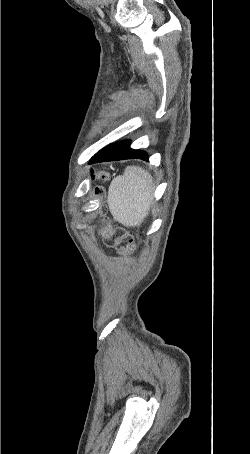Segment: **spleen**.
<instances>
[{
    "mask_svg": "<svg viewBox=\"0 0 250 454\" xmlns=\"http://www.w3.org/2000/svg\"><path fill=\"white\" fill-rule=\"evenodd\" d=\"M153 179L137 166L126 167L114 178L108 191V206L113 217L127 227L139 226L147 217L152 202Z\"/></svg>",
    "mask_w": 250,
    "mask_h": 454,
    "instance_id": "obj_1",
    "label": "spleen"
}]
</instances>
